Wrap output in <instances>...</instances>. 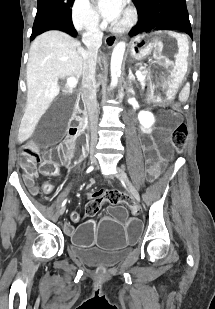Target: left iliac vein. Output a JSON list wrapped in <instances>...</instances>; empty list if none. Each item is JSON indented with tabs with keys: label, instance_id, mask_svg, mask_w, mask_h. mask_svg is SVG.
I'll return each mask as SVG.
<instances>
[{
	"label": "left iliac vein",
	"instance_id": "obj_1",
	"mask_svg": "<svg viewBox=\"0 0 215 309\" xmlns=\"http://www.w3.org/2000/svg\"><path fill=\"white\" fill-rule=\"evenodd\" d=\"M117 177L127 185L128 191L136 199V201H140V196L136 188L132 185L129 180L127 174L123 170H118Z\"/></svg>",
	"mask_w": 215,
	"mask_h": 309
}]
</instances>
